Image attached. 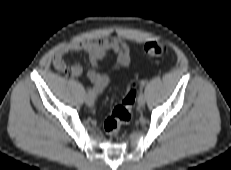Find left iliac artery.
Returning a JSON list of instances; mask_svg holds the SVG:
<instances>
[{
    "label": "left iliac artery",
    "instance_id": "44dca946",
    "mask_svg": "<svg viewBox=\"0 0 231 170\" xmlns=\"http://www.w3.org/2000/svg\"><path fill=\"white\" fill-rule=\"evenodd\" d=\"M141 85H142V86H144V85H145V82H144V81H142Z\"/></svg>",
    "mask_w": 231,
    "mask_h": 170
}]
</instances>
